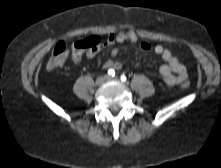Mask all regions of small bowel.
Wrapping results in <instances>:
<instances>
[{
  "mask_svg": "<svg viewBox=\"0 0 221 168\" xmlns=\"http://www.w3.org/2000/svg\"><path fill=\"white\" fill-rule=\"evenodd\" d=\"M126 31V30H125ZM112 45V44H111ZM140 49L144 52L153 51L156 55L160 56L164 60V64L159 67V72L163 78V81L168 86H174L183 82L187 78L186 67L179 61V59L167 48L162 45L152 46L146 41L140 43ZM99 48L89 50L87 52L88 58H93L97 54ZM118 48L113 47L110 50L112 57L117 56ZM103 67L106 69L120 70L122 68L121 62L115 59L107 60L103 63Z\"/></svg>",
  "mask_w": 221,
  "mask_h": 168,
  "instance_id": "obj_1",
  "label": "small bowel"
}]
</instances>
